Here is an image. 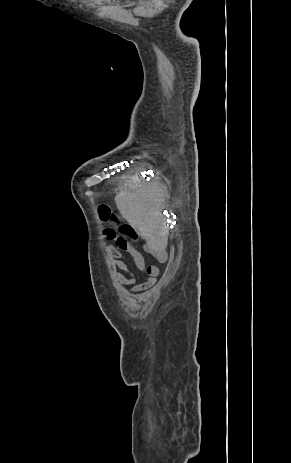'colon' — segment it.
Returning <instances> with one entry per match:
<instances>
[{"instance_id": "obj_1", "label": "colon", "mask_w": 291, "mask_h": 463, "mask_svg": "<svg viewBox=\"0 0 291 463\" xmlns=\"http://www.w3.org/2000/svg\"><path fill=\"white\" fill-rule=\"evenodd\" d=\"M98 216L103 223L110 224L109 227L102 228V241L109 242L116 234H120L121 236L133 241H137L139 239L133 227L126 222L119 221L108 205H99Z\"/></svg>"}]
</instances>
